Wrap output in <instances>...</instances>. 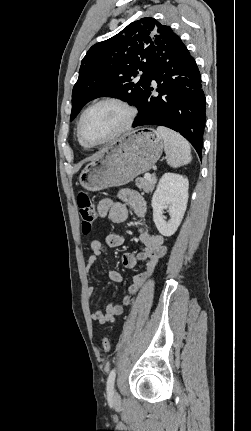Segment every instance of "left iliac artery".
<instances>
[{"label": "left iliac artery", "mask_w": 251, "mask_h": 431, "mask_svg": "<svg viewBox=\"0 0 251 431\" xmlns=\"http://www.w3.org/2000/svg\"><path fill=\"white\" fill-rule=\"evenodd\" d=\"M116 377V371L115 369L111 370L109 373L108 379H107V393L109 395H113L114 393V381Z\"/></svg>", "instance_id": "obj_1"}]
</instances>
